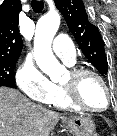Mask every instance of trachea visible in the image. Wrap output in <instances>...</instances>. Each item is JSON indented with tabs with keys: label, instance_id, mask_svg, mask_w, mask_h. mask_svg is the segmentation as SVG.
Segmentation results:
<instances>
[{
	"label": "trachea",
	"instance_id": "trachea-1",
	"mask_svg": "<svg viewBox=\"0 0 117 136\" xmlns=\"http://www.w3.org/2000/svg\"><path fill=\"white\" fill-rule=\"evenodd\" d=\"M31 7L34 12L40 13L44 8V3L42 1L32 0Z\"/></svg>",
	"mask_w": 117,
	"mask_h": 136
}]
</instances>
